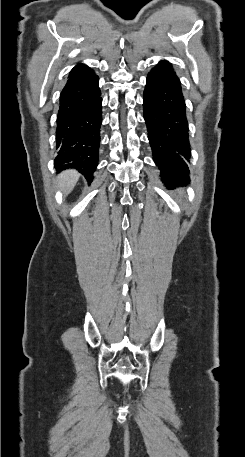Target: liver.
Wrapping results in <instances>:
<instances>
[{"mask_svg":"<svg viewBox=\"0 0 245 457\" xmlns=\"http://www.w3.org/2000/svg\"><path fill=\"white\" fill-rule=\"evenodd\" d=\"M80 174L77 170H63L58 176V184L64 194H69L73 190Z\"/></svg>","mask_w":245,"mask_h":457,"instance_id":"obj_1","label":"liver"}]
</instances>
